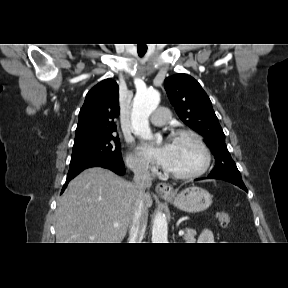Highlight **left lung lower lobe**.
Returning a JSON list of instances; mask_svg holds the SVG:
<instances>
[{
  "instance_id": "1",
  "label": "left lung lower lobe",
  "mask_w": 288,
  "mask_h": 288,
  "mask_svg": "<svg viewBox=\"0 0 288 288\" xmlns=\"http://www.w3.org/2000/svg\"><path fill=\"white\" fill-rule=\"evenodd\" d=\"M208 178H212V177L208 176ZM197 180H199V179H197ZM223 180L228 181L234 185H237L238 187H240L241 189H243L247 192V188L244 185L243 181H233V180H229V179H223Z\"/></svg>"
}]
</instances>
